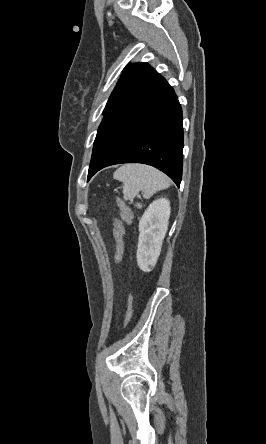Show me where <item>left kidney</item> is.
<instances>
[{"label":"left kidney","instance_id":"obj_1","mask_svg":"<svg viewBox=\"0 0 266 444\" xmlns=\"http://www.w3.org/2000/svg\"><path fill=\"white\" fill-rule=\"evenodd\" d=\"M170 212L169 200L160 198L149 205L140 219L137 263L144 272H150L157 263L168 229Z\"/></svg>","mask_w":266,"mask_h":444}]
</instances>
